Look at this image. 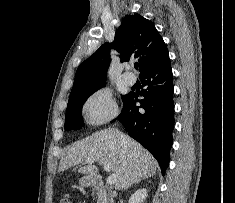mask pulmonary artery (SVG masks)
Returning <instances> with one entry per match:
<instances>
[{
    "label": "pulmonary artery",
    "instance_id": "pulmonary-artery-1",
    "mask_svg": "<svg viewBox=\"0 0 235 203\" xmlns=\"http://www.w3.org/2000/svg\"><path fill=\"white\" fill-rule=\"evenodd\" d=\"M128 68H129V67H128ZM123 80H124V82H125L127 85H129V86H132V85H134V84L136 83V77H135V75H134L132 72H130V71H127V72L124 73V75H123Z\"/></svg>",
    "mask_w": 235,
    "mask_h": 203
}]
</instances>
